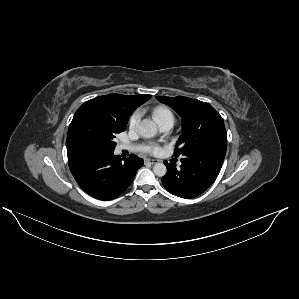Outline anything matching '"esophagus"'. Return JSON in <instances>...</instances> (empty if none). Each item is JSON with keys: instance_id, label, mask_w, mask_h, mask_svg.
<instances>
[{"instance_id": "1", "label": "esophagus", "mask_w": 299, "mask_h": 299, "mask_svg": "<svg viewBox=\"0 0 299 299\" xmlns=\"http://www.w3.org/2000/svg\"><path fill=\"white\" fill-rule=\"evenodd\" d=\"M145 163H150V164H156L159 162V160L156 159H145L144 160Z\"/></svg>"}]
</instances>
